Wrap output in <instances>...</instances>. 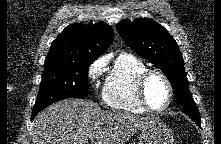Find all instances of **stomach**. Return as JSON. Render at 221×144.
<instances>
[{
  "label": "stomach",
  "instance_id": "1",
  "mask_svg": "<svg viewBox=\"0 0 221 144\" xmlns=\"http://www.w3.org/2000/svg\"><path fill=\"white\" fill-rule=\"evenodd\" d=\"M172 130L160 119L144 127L139 135V144H173Z\"/></svg>",
  "mask_w": 221,
  "mask_h": 144
}]
</instances>
